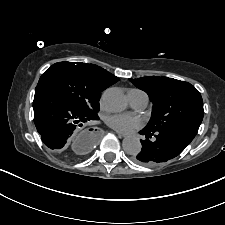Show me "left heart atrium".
<instances>
[{
    "mask_svg": "<svg viewBox=\"0 0 225 225\" xmlns=\"http://www.w3.org/2000/svg\"><path fill=\"white\" fill-rule=\"evenodd\" d=\"M106 122L113 129L123 133L132 132L142 125L141 119L131 114H113L106 118Z\"/></svg>",
    "mask_w": 225,
    "mask_h": 225,
    "instance_id": "obj_1",
    "label": "left heart atrium"
}]
</instances>
